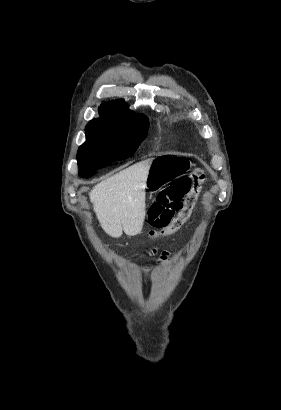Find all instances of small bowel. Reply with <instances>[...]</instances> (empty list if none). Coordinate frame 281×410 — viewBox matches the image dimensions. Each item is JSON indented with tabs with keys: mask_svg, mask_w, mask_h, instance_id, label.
<instances>
[{
	"mask_svg": "<svg viewBox=\"0 0 281 410\" xmlns=\"http://www.w3.org/2000/svg\"><path fill=\"white\" fill-rule=\"evenodd\" d=\"M169 255H170V253L167 252V251L162 252L161 255H160L161 261H165L169 257Z\"/></svg>",
	"mask_w": 281,
	"mask_h": 410,
	"instance_id": "1",
	"label": "small bowel"
}]
</instances>
